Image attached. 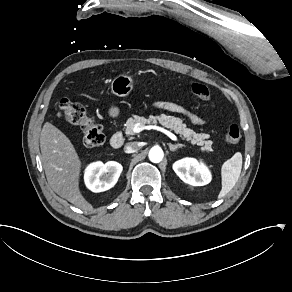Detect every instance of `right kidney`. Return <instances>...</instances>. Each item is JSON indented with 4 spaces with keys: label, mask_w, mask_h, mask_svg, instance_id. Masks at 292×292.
Instances as JSON below:
<instances>
[{
    "label": "right kidney",
    "mask_w": 292,
    "mask_h": 292,
    "mask_svg": "<svg viewBox=\"0 0 292 292\" xmlns=\"http://www.w3.org/2000/svg\"><path fill=\"white\" fill-rule=\"evenodd\" d=\"M122 173V166L116 162L90 165L85 174V183L93 192H104L112 188Z\"/></svg>",
    "instance_id": "1"
}]
</instances>
